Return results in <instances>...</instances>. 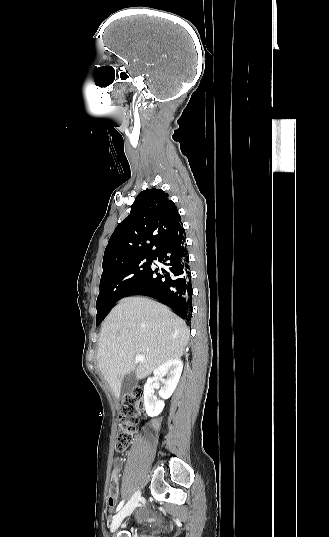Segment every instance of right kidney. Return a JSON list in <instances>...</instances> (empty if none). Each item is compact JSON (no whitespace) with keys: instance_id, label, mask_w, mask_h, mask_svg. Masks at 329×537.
I'll return each instance as SVG.
<instances>
[{"instance_id":"ca27d5eb","label":"right kidney","mask_w":329,"mask_h":537,"mask_svg":"<svg viewBox=\"0 0 329 537\" xmlns=\"http://www.w3.org/2000/svg\"><path fill=\"white\" fill-rule=\"evenodd\" d=\"M182 369V361L180 359H173L159 366L153 372L154 377L147 379L144 386V406L148 416L155 417L162 412L165 406L164 400L168 399L174 392L180 379ZM163 375H167V379L162 380L164 386H162L159 391L162 400H159L154 395L153 383Z\"/></svg>"}]
</instances>
